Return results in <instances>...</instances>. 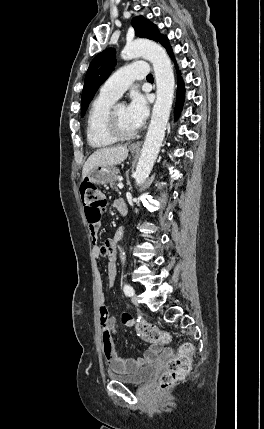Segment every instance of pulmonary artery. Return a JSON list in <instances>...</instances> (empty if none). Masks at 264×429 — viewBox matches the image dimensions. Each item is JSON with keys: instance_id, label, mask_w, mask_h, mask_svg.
Instances as JSON below:
<instances>
[{"instance_id": "1", "label": "pulmonary artery", "mask_w": 264, "mask_h": 429, "mask_svg": "<svg viewBox=\"0 0 264 429\" xmlns=\"http://www.w3.org/2000/svg\"><path fill=\"white\" fill-rule=\"evenodd\" d=\"M148 74V65L145 62H136L117 70L102 85L100 93L119 98L135 81L143 79Z\"/></svg>"}]
</instances>
